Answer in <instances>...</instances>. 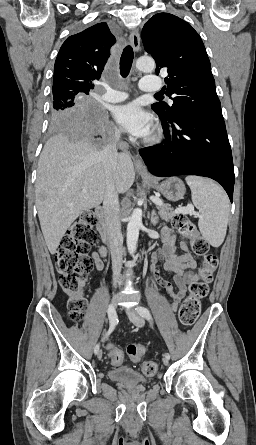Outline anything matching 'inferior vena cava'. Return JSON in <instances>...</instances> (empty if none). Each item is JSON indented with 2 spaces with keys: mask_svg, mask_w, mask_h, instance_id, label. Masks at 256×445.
I'll list each match as a JSON object with an SVG mask.
<instances>
[{
  "mask_svg": "<svg viewBox=\"0 0 256 445\" xmlns=\"http://www.w3.org/2000/svg\"><path fill=\"white\" fill-rule=\"evenodd\" d=\"M121 131L117 129L113 141L102 151L103 165L107 175L106 191L103 200L104 218L107 229V237L112 258L113 281L116 286L121 283V266L123 261V236L119 219V199L118 192L111 179L112 173L117 166V143Z\"/></svg>",
  "mask_w": 256,
  "mask_h": 445,
  "instance_id": "inferior-vena-cava-1",
  "label": "inferior vena cava"
}]
</instances>
